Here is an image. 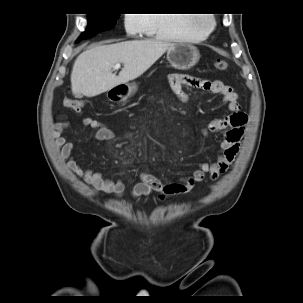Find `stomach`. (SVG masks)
<instances>
[{"label": "stomach", "instance_id": "0dacf381", "mask_svg": "<svg viewBox=\"0 0 303 303\" xmlns=\"http://www.w3.org/2000/svg\"><path fill=\"white\" fill-rule=\"evenodd\" d=\"M200 58L198 49L188 43H173L167 50V60L170 65L176 69L187 70L193 67ZM118 89H123L124 93H117L116 96L120 100H126L137 91V85L135 83H125Z\"/></svg>", "mask_w": 303, "mask_h": 303}]
</instances>
